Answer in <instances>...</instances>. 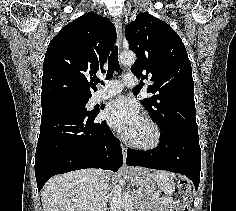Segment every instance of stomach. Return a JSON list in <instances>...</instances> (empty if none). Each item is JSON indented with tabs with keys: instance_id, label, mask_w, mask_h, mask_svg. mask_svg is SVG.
<instances>
[{
	"instance_id": "obj_1",
	"label": "stomach",
	"mask_w": 236,
	"mask_h": 211,
	"mask_svg": "<svg viewBox=\"0 0 236 211\" xmlns=\"http://www.w3.org/2000/svg\"><path fill=\"white\" fill-rule=\"evenodd\" d=\"M130 178L137 188L145 193L147 197H151L156 192V185L151 174L142 168H132Z\"/></svg>"
}]
</instances>
